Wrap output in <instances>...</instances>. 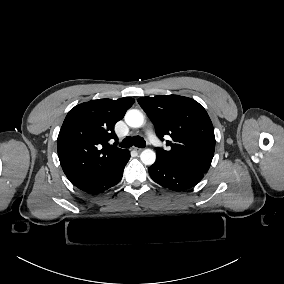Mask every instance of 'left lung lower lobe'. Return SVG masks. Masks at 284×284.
I'll return each instance as SVG.
<instances>
[{
  "instance_id": "0a47b994",
  "label": "left lung lower lobe",
  "mask_w": 284,
  "mask_h": 284,
  "mask_svg": "<svg viewBox=\"0 0 284 284\" xmlns=\"http://www.w3.org/2000/svg\"><path fill=\"white\" fill-rule=\"evenodd\" d=\"M149 174L156 183L176 191L195 186L204 176V173L175 167L159 159L149 167Z\"/></svg>"
}]
</instances>
